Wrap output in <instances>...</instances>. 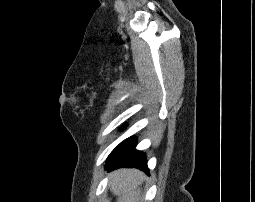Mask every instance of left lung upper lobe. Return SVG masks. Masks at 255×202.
<instances>
[{
    "mask_svg": "<svg viewBox=\"0 0 255 202\" xmlns=\"http://www.w3.org/2000/svg\"><path fill=\"white\" fill-rule=\"evenodd\" d=\"M130 138L124 140L123 142H121L109 155V157L107 158V161H110L111 159H113L119 152L120 150L124 147V145L128 142Z\"/></svg>",
    "mask_w": 255,
    "mask_h": 202,
    "instance_id": "1",
    "label": "left lung upper lobe"
}]
</instances>
